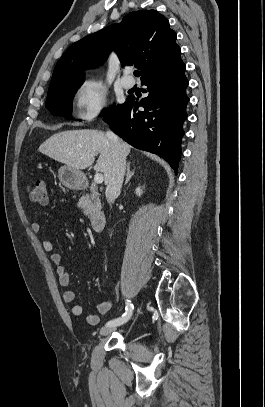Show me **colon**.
<instances>
[{
	"instance_id": "obj_1",
	"label": "colon",
	"mask_w": 265,
	"mask_h": 407,
	"mask_svg": "<svg viewBox=\"0 0 265 407\" xmlns=\"http://www.w3.org/2000/svg\"><path fill=\"white\" fill-rule=\"evenodd\" d=\"M30 199L33 202L44 204L48 200L47 183L44 180H37L30 190Z\"/></svg>"
}]
</instances>
